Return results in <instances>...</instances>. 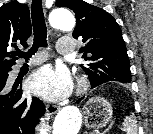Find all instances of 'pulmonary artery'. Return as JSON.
<instances>
[{"label": "pulmonary artery", "instance_id": "obj_1", "mask_svg": "<svg viewBox=\"0 0 153 134\" xmlns=\"http://www.w3.org/2000/svg\"><path fill=\"white\" fill-rule=\"evenodd\" d=\"M57 51L62 55H69L75 51V42L70 37H62L59 39L57 44ZM46 59L44 54H39L35 56L30 62V65H37L42 63ZM18 66L17 68H19Z\"/></svg>", "mask_w": 153, "mask_h": 134}]
</instances>
